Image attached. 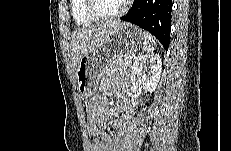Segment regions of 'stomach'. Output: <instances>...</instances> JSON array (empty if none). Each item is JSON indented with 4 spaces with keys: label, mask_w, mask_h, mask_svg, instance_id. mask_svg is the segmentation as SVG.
I'll use <instances>...</instances> for the list:
<instances>
[{
    "label": "stomach",
    "mask_w": 231,
    "mask_h": 151,
    "mask_svg": "<svg viewBox=\"0 0 231 151\" xmlns=\"http://www.w3.org/2000/svg\"><path fill=\"white\" fill-rule=\"evenodd\" d=\"M143 33L135 26L119 22L108 40L85 54L76 69L77 89L85 98L92 97L107 67L120 55L137 52L143 46Z\"/></svg>",
    "instance_id": "stomach-1"
}]
</instances>
